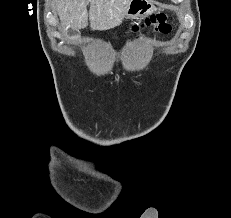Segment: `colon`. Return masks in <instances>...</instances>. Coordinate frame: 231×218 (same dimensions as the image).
I'll return each mask as SVG.
<instances>
[{
    "mask_svg": "<svg viewBox=\"0 0 231 218\" xmlns=\"http://www.w3.org/2000/svg\"><path fill=\"white\" fill-rule=\"evenodd\" d=\"M166 34L171 31V25L168 22V17L164 13L151 15L142 23L136 24L131 28L132 33L142 36L143 31Z\"/></svg>",
    "mask_w": 231,
    "mask_h": 218,
    "instance_id": "5ec220e1",
    "label": "colon"
}]
</instances>
